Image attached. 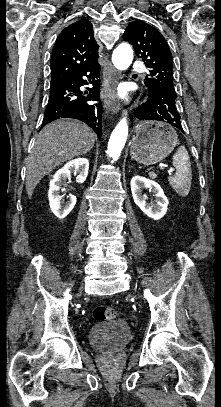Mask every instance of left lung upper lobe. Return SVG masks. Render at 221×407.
Segmentation results:
<instances>
[{"instance_id": "5c2ea615", "label": "left lung upper lobe", "mask_w": 221, "mask_h": 407, "mask_svg": "<svg viewBox=\"0 0 221 407\" xmlns=\"http://www.w3.org/2000/svg\"><path fill=\"white\" fill-rule=\"evenodd\" d=\"M135 49V54L149 68L144 83L148 91L158 85L173 88L172 54L165 38L153 26L143 22L130 23L123 35Z\"/></svg>"}]
</instances>
